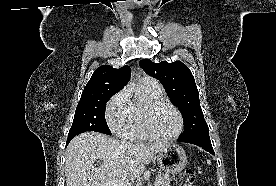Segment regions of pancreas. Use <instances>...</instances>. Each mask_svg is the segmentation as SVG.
<instances>
[{"mask_svg": "<svg viewBox=\"0 0 276 186\" xmlns=\"http://www.w3.org/2000/svg\"><path fill=\"white\" fill-rule=\"evenodd\" d=\"M157 186H170V176L168 173H159L156 176V181Z\"/></svg>", "mask_w": 276, "mask_h": 186, "instance_id": "cf45deb5", "label": "pancreas"}]
</instances>
